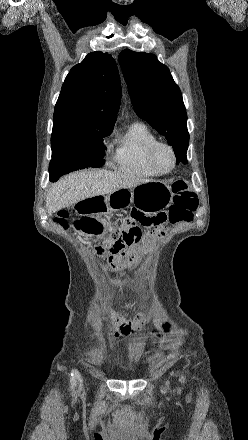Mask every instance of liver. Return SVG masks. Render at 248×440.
<instances>
[{
    "label": "liver",
    "instance_id": "6515ba94",
    "mask_svg": "<svg viewBox=\"0 0 248 440\" xmlns=\"http://www.w3.org/2000/svg\"><path fill=\"white\" fill-rule=\"evenodd\" d=\"M146 182L150 180L104 169L73 172L51 187L46 197V209L52 215L85 199L108 195L123 188H134Z\"/></svg>",
    "mask_w": 248,
    "mask_h": 440
}]
</instances>
